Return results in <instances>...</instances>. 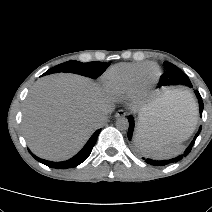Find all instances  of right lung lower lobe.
<instances>
[{
    "mask_svg": "<svg viewBox=\"0 0 212 212\" xmlns=\"http://www.w3.org/2000/svg\"><path fill=\"white\" fill-rule=\"evenodd\" d=\"M43 75H48V72H45ZM42 75V76H43ZM101 129L97 130L89 139V141L86 143V145L83 147V149L76 154L73 158L67 160V161H62V162H52V161H47L44 159H40L39 157L33 155L31 153V155L39 162H41L42 164L47 165L48 167L51 168H56V169H67V168H72V167H76L77 165L81 164L83 161H85L88 156L90 155L93 146L96 143L97 137L100 133Z\"/></svg>",
    "mask_w": 212,
    "mask_h": 212,
    "instance_id": "obj_1",
    "label": "right lung lower lobe"
}]
</instances>
